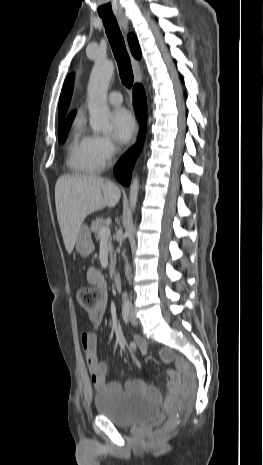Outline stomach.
Returning a JSON list of instances; mask_svg holds the SVG:
<instances>
[{
	"instance_id": "stomach-1",
	"label": "stomach",
	"mask_w": 263,
	"mask_h": 465,
	"mask_svg": "<svg viewBox=\"0 0 263 465\" xmlns=\"http://www.w3.org/2000/svg\"><path fill=\"white\" fill-rule=\"evenodd\" d=\"M76 251L82 257H88L94 251V244L87 225H82L76 237Z\"/></svg>"
}]
</instances>
